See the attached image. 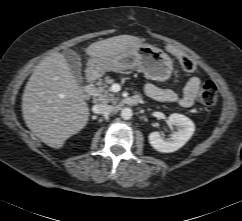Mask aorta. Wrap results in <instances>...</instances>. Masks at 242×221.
Returning <instances> with one entry per match:
<instances>
[{"instance_id": "762f6f07", "label": "aorta", "mask_w": 242, "mask_h": 221, "mask_svg": "<svg viewBox=\"0 0 242 221\" xmlns=\"http://www.w3.org/2000/svg\"><path fill=\"white\" fill-rule=\"evenodd\" d=\"M133 116V112H132V109L128 108V107H125L122 109L121 111V117L124 119V120H129L131 119Z\"/></svg>"}]
</instances>
